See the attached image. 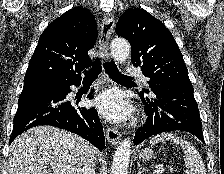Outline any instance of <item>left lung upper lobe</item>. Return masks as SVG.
<instances>
[{
  "mask_svg": "<svg viewBox=\"0 0 224 174\" xmlns=\"http://www.w3.org/2000/svg\"><path fill=\"white\" fill-rule=\"evenodd\" d=\"M116 33L132 49V63L140 67L148 84L192 86L181 51L164 24L139 8L127 9L119 18ZM148 93V90H143Z\"/></svg>",
  "mask_w": 224,
  "mask_h": 174,
  "instance_id": "5c2ea615",
  "label": "left lung upper lobe"
}]
</instances>
